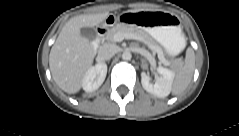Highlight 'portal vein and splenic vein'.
I'll list each match as a JSON object with an SVG mask.
<instances>
[{
	"label": "portal vein and splenic vein",
	"instance_id": "obj_1",
	"mask_svg": "<svg viewBox=\"0 0 239 136\" xmlns=\"http://www.w3.org/2000/svg\"><path fill=\"white\" fill-rule=\"evenodd\" d=\"M124 39H138L141 41H144L140 36L134 35V34H123V33H117L114 36L115 42H121ZM151 50L155 51L153 48L150 47Z\"/></svg>",
	"mask_w": 239,
	"mask_h": 136
}]
</instances>
